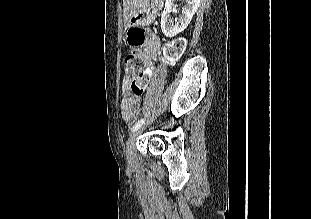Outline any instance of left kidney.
<instances>
[{
    "mask_svg": "<svg viewBox=\"0 0 311 219\" xmlns=\"http://www.w3.org/2000/svg\"><path fill=\"white\" fill-rule=\"evenodd\" d=\"M174 1L175 0H166L165 9L161 16V29L166 37H174L178 33L184 31L191 22L201 0H185L186 5L182 8V15L178 17L175 23L170 17Z\"/></svg>",
    "mask_w": 311,
    "mask_h": 219,
    "instance_id": "1",
    "label": "left kidney"
}]
</instances>
